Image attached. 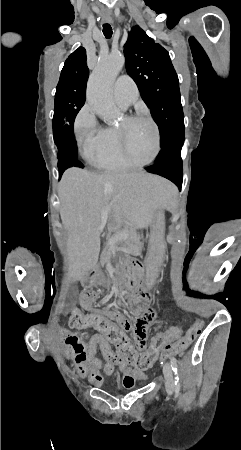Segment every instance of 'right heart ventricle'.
Returning <instances> with one entry per match:
<instances>
[{"mask_svg":"<svg viewBox=\"0 0 241 450\" xmlns=\"http://www.w3.org/2000/svg\"><path fill=\"white\" fill-rule=\"evenodd\" d=\"M122 106V105H121ZM89 116H92L89 114ZM120 124H124L121 120ZM96 126L99 131L100 147L96 155H85L86 160L96 168H125L129 167L126 157H122V150L117 142V127ZM125 139V138H124ZM82 141V140H81Z\"/></svg>","mask_w":241,"mask_h":450,"instance_id":"obj_1","label":"right heart ventricle"}]
</instances>
